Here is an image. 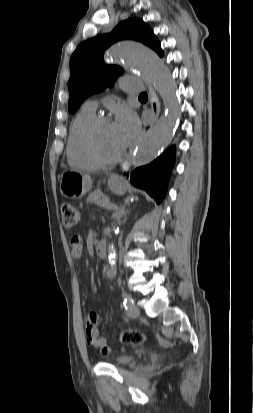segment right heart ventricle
<instances>
[{"mask_svg":"<svg viewBox=\"0 0 253 413\" xmlns=\"http://www.w3.org/2000/svg\"><path fill=\"white\" fill-rule=\"evenodd\" d=\"M96 117L95 112L82 108L72 121L66 145V156L70 165L95 169L99 165L87 152L84 135L89 123Z\"/></svg>","mask_w":253,"mask_h":413,"instance_id":"1","label":"right heart ventricle"}]
</instances>
